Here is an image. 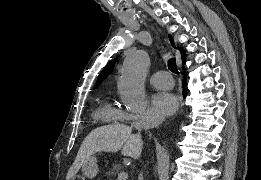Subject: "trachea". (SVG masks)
Returning a JSON list of instances; mask_svg holds the SVG:
<instances>
[{
    "mask_svg": "<svg viewBox=\"0 0 261 180\" xmlns=\"http://www.w3.org/2000/svg\"><path fill=\"white\" fill-rule=\"evenodd\" d=\"M168 68L172 73H176V75H179V71L176 65V59L175 58H170L168 60Z\"/></svg>",
    "mask_w": 261,
    "mask_h": 180,
    "instance_id": "1",
    "label": "trachea"
}]
</instances>
